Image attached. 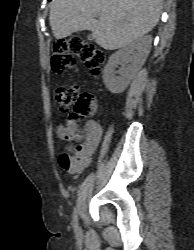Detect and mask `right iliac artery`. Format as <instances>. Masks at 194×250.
<instances>
[{"mask_svg":"<svg viewBox=\"0 0 194 250\" xmlns=\"http://www.w3.org/2000/svg\"><path fill=\"white\" fill-rule=\"evenodd\" d=\"M78 226V215H77V208H74V212H73V227L74 229H76Z\"/></svg>","mask_w":194,"mask_h":250,"instance_id":"obj_1","label":"right iliac artery"}]
</instances>
